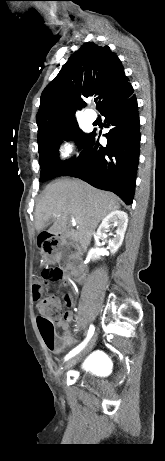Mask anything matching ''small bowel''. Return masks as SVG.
<instances>
[{
    "mask_svg": "<svg viewBox=\"0 0 165 461\" xmlns=\"http://www.w3.org/2000/svg\"><path fill=\"white\" fill-rule=\"evenodd\" d=\"M81 256H63L62 260L58 261V266L66 279L81 278L82 271H87L88 263H81ZM75 297L69 291L63 293V306L65 309H72L75 304ZM74 316L72 312H66L63 318L55 320V325L63 329V335L58 337V342L54 349L55 353H60L65 348L72 346L76 340L70 330V324L73 322Z\"/></svg>",
    "mask_w": 165,
    "mask_h": 461,
    "instance_id": "obj_1",
    "label": "small bowel"
}]
</instances>
